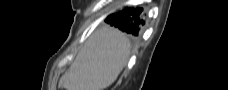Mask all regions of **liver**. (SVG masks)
<instances>
[{"mask_svg":"<svg viewBox=\"0 0 228 90\" xmlns=\"http://www.w3.org/2000/svg\"><path fill=\"white\" fill-rule=\"evenodd\" d=\"M129 52L130 42L122 32L101 27L81 48L59 85L65 90H104L125 67Z\"/></svg>","mask_w":228,"mask_h":90,"instance_id":"obj_1","label":"liver"}]
</instances>
